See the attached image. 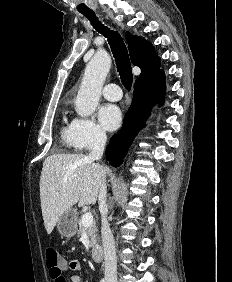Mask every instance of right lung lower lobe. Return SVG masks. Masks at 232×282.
Segmentation results:
<instances>
[{"label":"right lung lower lobe","mask_w":232,"mask_h":282,"mask_svg":"<svg viewBox=\"0 0 232 282\" xmlns=\"http://www.w3.org/2000/svg\"><path fill=\"white\" fill-rule=\"evenodd\" d=\"M165 75L163 70L137 79L133 100L124 117L121 130L114 135L107 146L106 155L110 164L118 167L122 163L133 139L150 115L151 107L164 101Z\"/></svg>","instance_id":"98d812e1"}]
</instances>
